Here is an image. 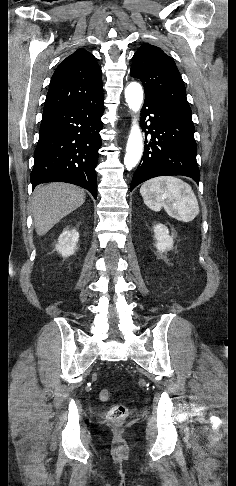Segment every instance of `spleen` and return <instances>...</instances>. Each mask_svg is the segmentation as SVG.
<instances>
[{
    "mask_svg": "<svg viewBox=\"0 0 236 486\" xmlns=\"http://www.w3.org/2000/svg\"><path fill=\"white\" fill-rule=\"evenodd\" d=\"M144 203L154 211L162 207L183 222L192 221L199 214L197 198L189 184L179 178L164 176L145 182L140 188Z\"/></svg>",
    "mask_w": 236,
    "mask_h": 486,
    "instance_id": "spleen-1",
    "label": "spleen"
}]
</instances>
